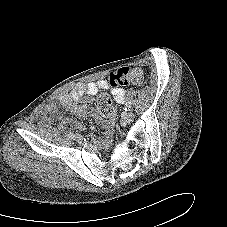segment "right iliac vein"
<instances>
[{"label": "right iliac vein", "instance_id": "obj_1", "mask_svg": "<svg viewBox=\"0 0 227 227\" xmlns=\"http://www.w3.org/2000/svg\"><path fill=\"white\" fill-rule=\"evenodd\" d=\"M74 138L78 143H81L83 141V136L80 134H77Z\"/></svg>", "mask_w": 227, "mask_h": 227}]
</instances>
